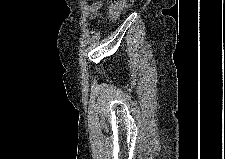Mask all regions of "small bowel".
Here are the masks:
<instances>
[{
  "instance_id": "obj_1",
  "label": "small bowel",
  "mask_w": 225,
  "mask_h": 159,
  "mask_svg": "<svg viewBox=\"0 0 225 159\" xmlns=\"http://www.w3.org/2000/svg\"><path fill=\"white\" fill-rule=\"evenodd\" d=\"M105 4V0H97L95 2L89 3L87 5V10H88V20L89 21H94L98 20L100 18V10ZM116 5H111L110 6V11L111 13H117L118 10L115 9Z\"/></svg>"
}]
</instances>
